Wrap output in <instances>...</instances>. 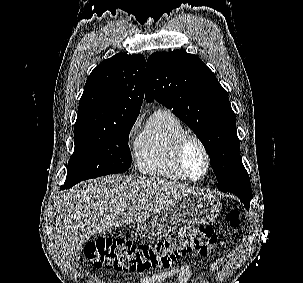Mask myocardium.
Here are the masks:
<instances>
[{"mask_svg":"<svg viewBox=\"0 0 303 283\" xmlns=\"http://www.w3.org/2000/svg\"><path fill=\"white\" fill-rule=\"evenodd\" d=\"M191 143H195L198 145V147L201 149L204 159H205V171L200 177H193L191 175V173L188 169L187 163H186V151H187L188 146ZM176 158H177V162H178L180 169L182 170L184 175L187 177V179L190 181H194V182L201 181L202 179H204L207 176V174L210 171L211 157H210L209 151H208L205 143L197 135L186 133L185 135H183L181 137V139L179 140L177 147H176Z\"/></svg>","mask_w":303,"mask_h":283,"instance_id":"1","label":"myocardium"}]
</instances>
